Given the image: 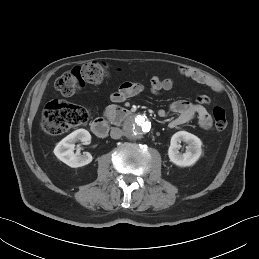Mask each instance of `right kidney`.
<instances>
[{
    "instance_id": "obj_1",
    "label": "right kidney",
    "mask_w": 259,
    "mask_h": 259,
    "mask_svg": "<svg viewBox=\"0 0 259 259\" xmlns=\"http://www.w3.org/2000/svg\"><path fill=\"white\" fill-rule=\"evenodd\" d=\"M91 135L85 129H78L62 139L55 147L54 154L56 157L72 168L82 167L89 164L93 157L90 153H74L75 143L82 141L90 142Z\"/></svg>"
}]
</instances>
